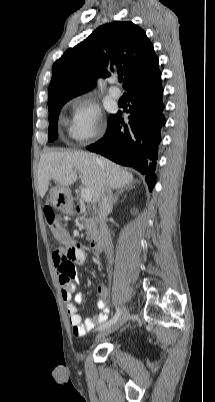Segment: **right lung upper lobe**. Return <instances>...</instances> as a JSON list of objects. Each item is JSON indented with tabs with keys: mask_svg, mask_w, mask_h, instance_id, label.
I'll list each match as a JSON object with an SVG mask.
<instances>
[{
	"mask_svg": "<svg viewBox=\"0 0 215 402\" xmlns=\"http://www.w3.org/2000/svg\"><path fill=\"white\" fill-rule=\"evenodd\" d=\"M121 73L130 90L161 76L158 57L144 30L130 21L98 27L83 42L69 48L52 67L48 104L88 91L99 77Z\"/></svg>",
	"mask_w": 215,
	"mask_h": 402,
	"instance_id": "right-lung-upper-lobe-1",
	"label": "right lung upper lobe"
}]
</instances>
